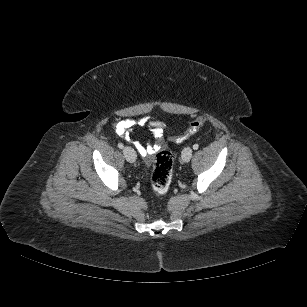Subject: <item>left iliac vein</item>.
<instances>
[{
	"mask_svg": "<svg viewBox=\"0 0 307 307\" xmlns=\"http://www.w3.org/2000/svg\"><path fill=\"white\" fill-rule=\"evenodd\" d=\"M192 157V149L191 147H185L182 151V160L184 162H189Z\"/></svg>",
	"mask_w": 307,
	"mask_h": 307,
	"instance_id": "4c4485c4",
	"label": "left iliac vein"
}]
</instances>
